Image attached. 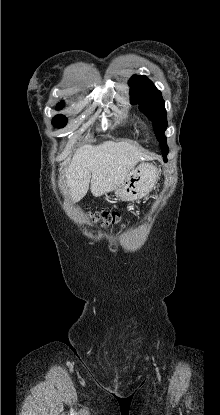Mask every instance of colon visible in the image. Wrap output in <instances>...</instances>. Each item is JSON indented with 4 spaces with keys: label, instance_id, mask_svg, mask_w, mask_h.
Returning a JSON list of instances; mask_svg holds the SVG:
<instances>
[{
    "label": "colon",
    "instance_id": "obj_1",
    "mask_svg": "<svg viewBox=\"0 0 220 415\" xmlns=\"http://www.w3.org/2000/svg\"><path fill=\"white\" fill-rule=\"evenodd\" d=\"M90 218L95 223H101L105 226H115L121 223L122 217L116 211L93 212Z\"/></svg>",
    "mask_w": 220,
    "mask_h": 415
}]
</instances>
